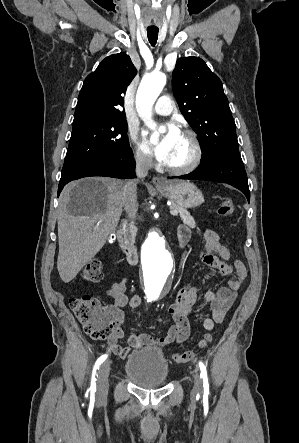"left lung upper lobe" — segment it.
<instances>
[{
	"label": "left lung upper lobe",
	"mask_w": 299,
	"mask_h": 443,
	"mask_svg": "<svg viewBox=\"0 0 299 443\" xmlns=\"http://www.w3.org/2000/svg\"><path fill=\"white\" fill-rule=\"evenodd\" d=\"M172 87L180 111L201 140V163L240 160L235 122L222 83L199 57L178 59Z\"/></svg>",
	"instance_id": "5c2ea615"
}]
</instances>
